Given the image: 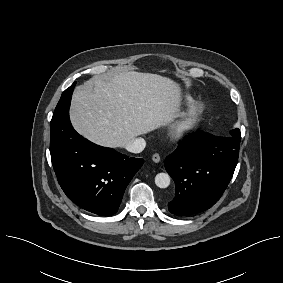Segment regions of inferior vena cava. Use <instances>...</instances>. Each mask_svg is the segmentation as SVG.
Listing matches in <instances>:
<instances>
[{"label":"inferior vena cava","mask_w":283,"mask_h":283,"mask_svg":"<svg viewBox=\"0 0 283 283\" xmlns=\"http://www.w3.org/2000/svg\"><path fill=\"white\" fill-rule=\"evenodd\" d=\"M146 142L143 138H135L125 145L127 151L132 153H140L144 150Z\"/></svg>","instance_id":"inferior-vena-cava-1"}]
</instances>
